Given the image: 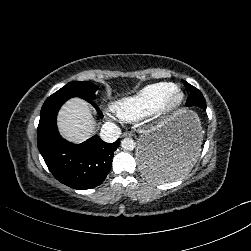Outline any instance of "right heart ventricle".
<instances>
[{"label": "right heart ventricle", "mask_w": 251, "mask_h": 251, "mask_svg": "<svg viewBox=\"0 0 251 251\" xmlns=\"http://www.w3.org/2000/svg\"><path fill=\"white\" fill-rule=\"evenodd\" d=\"M171 86L170 82H158L143 87L119 103L118 114L125 119H135L150 114Z\"/></svg>", "instance_id": "1"}]
</instances>
